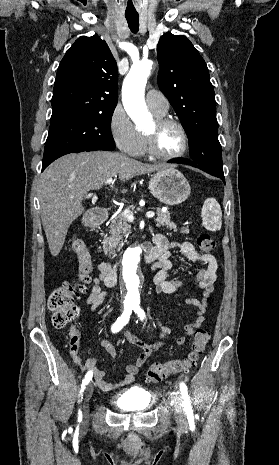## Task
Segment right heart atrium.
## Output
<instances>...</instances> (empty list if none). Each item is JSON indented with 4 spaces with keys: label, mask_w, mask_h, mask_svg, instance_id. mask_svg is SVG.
<instances>
[{
    "label": "right heart atrium",
    "mask_w": 279,
    "mask_h": 465,
    "mask_svg": "<svg viewBox=\"0 0 279 465\" xmlns=\"http://www.w3.org/2000/svg\"><path fill=\"white\" fill-rule=\"evenodd\" d=\"M108 127L116 147L123 153L132 154L137 144L138 133L121 105L112 110Z\"/></svg>",
    "instance_id": "1"
}]
</instances>
